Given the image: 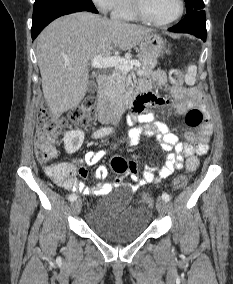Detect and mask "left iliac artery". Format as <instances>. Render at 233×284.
<instances>
[{
    "label": "left iliac artery",
    "mask_w": 233,
    "mask_h": 284,
    "mask_svg": "<svg viewBox=\"0 0 233 284\" xmlns=\"http://www.w3.org/2000/svg\"><path fill=\"white\" fill-rule=\"evenodd\" d=\"M162 199H163L164 201L168 202V201L170 200L169 194L163 193V194H162Z\"/></svg>",
    "instance_id": "1"
}]
</instances>
